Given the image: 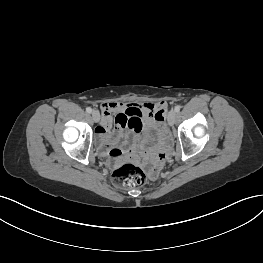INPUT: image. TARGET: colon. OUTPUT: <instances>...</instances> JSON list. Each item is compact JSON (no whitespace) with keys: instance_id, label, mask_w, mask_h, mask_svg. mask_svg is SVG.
I'll return each instance as SVG.
<instances>
[{"instance_id":"5ec220e1","label":"colon","mask_w":263,"mask_h":263,"mask_svg":"<svg viewBox=\"0 0 263 263\" xmlns=\"http://www.w3.org/2000/svg\"><path fill=\"white\" fill-rule=\"evenodd\" d=\"M145 180L146 174L143 169L133 163L122 164L115 168L112 172L113 183L124 189L140 186L144 184Z\"/></svg>"}]
</instances>
